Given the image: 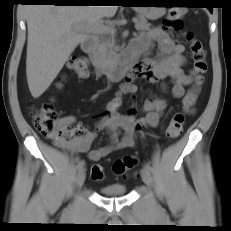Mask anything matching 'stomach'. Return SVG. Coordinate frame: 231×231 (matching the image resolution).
<instances>
[{"instance_id": "1", "label": "stomach", "mask_w": 231, "mask_h": 231, "mask_svg": "<svg viewBox=\"0 0 231 231\" xmlns=\"http://www.w3.org/2000/svg\"><path fill=\"white\" fill-rule=\"evenodd\" d=\"M152 5L147 4L146 7H136V11L142 16L148 19H156L165 13V7H150Z\"/></svg>"}]
</instances>
